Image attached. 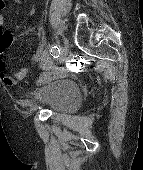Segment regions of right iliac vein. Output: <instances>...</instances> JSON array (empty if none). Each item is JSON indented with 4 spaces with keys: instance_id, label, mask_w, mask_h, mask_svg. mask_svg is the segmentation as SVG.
I'll return each mask as SVG.
<instances>
[{
    "instance_id": "right-iliac-vein-1",
    "label": "right iliac vein",
    "mask_w": 143,
    "mask_h": 170,
    "mask_svg": "<svg viewBox=\"0 0 143 170\" xmlns=\"http://www.w3.org/2000/svg\"><path fill=\"white\" fill-rule=\"evenodd\" d=\"M68 51H69V44H68V41L64 38V47L62 48L61 54L59 57L60 64L63 63L67 59ZM53 74L54 76H59L57 71H55Z\"/></svg>"
}]
</instances>
